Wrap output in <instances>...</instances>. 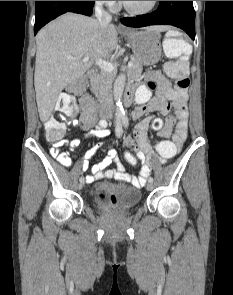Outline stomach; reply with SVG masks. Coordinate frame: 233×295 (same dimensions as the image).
Returning <instances> with one entry per match:
<instances>
[{"label":"stomach","mask_w":233,"mask_h":295,"mask_svg":"<svg viewBox=\"0 0 233 295\" xmlns=\"http://www.w3.org/2000/svg\"><path fill=\"white\" fill-rule=\"evenodd\" d=\"M123 36L131 44L134 57L142 64L151 66L161 58L160 31L155 27L143 30H129Z\"/></svg>","instance_id":"1"}]
</instances>
